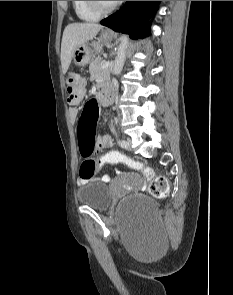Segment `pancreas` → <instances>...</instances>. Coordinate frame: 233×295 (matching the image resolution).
I'll return each instance as SVG.
<instances>
[{
    "label": "pancreas",
    "mask_w": 233,
    "mask_h": 295,
    "mask_svg": "<svg viewBox=\"0 0 233 295\" xmlns=\"http://www.w3.org/2000/svg\"><path fill=\"white\" fill-rule=\"evenodd\" d=\"M104 63L105 62L100 57L96 58L90 63L89 71H90L91 78L98 79L108 72V68H105V69L101 68Z\"/></svg>",
    "instance_id": "pancreas-1"
}]
</instances>
